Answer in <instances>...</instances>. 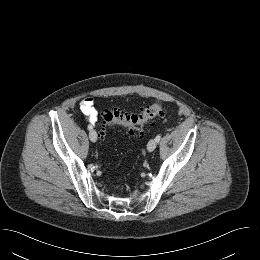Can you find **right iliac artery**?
I'll return each mask as SVG.
<instances>
[{
	"mask_svg": "<svg viewBox=\"0 0 260 260\" xmlns=\"http://www.w3.org/2000/svg\"><path fill=\"white\" fill-rule=\"evenodd\" d=\"M88 129L91 130L92 129V125H88Z\"/></svg>",
	"mask_w": 260,
	"mask_h": 260,
	"instance_id": "obj_1",
	"label": "right iliac artery"
}]
</instances>
